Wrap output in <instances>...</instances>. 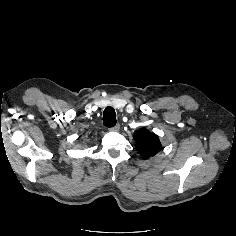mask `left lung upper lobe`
<instances>
[{"mask_svg":"<svg viewBox=\"0 0 236 236\" xmlns=\"http://www.w3.org/2000/svg\"><path fill=\"white\" fill-rule=\"evenodd\" d=\"M136 141V149L143 156L148 159L154 156L161 150V144L156 134L149 132L145 128H141L134 134Z\"/></svg>","mask_w":236,"mask_h":236,"instance_id":"obj_1","label":"left lung upper lobe"}]
</instances>
